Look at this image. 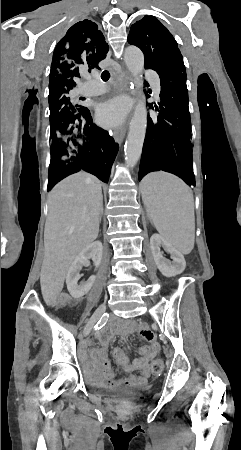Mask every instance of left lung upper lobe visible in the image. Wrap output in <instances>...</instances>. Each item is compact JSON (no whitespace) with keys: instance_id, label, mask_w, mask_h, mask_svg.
I'll list each match as a JSON object with an SVG mask.
<instances>
[{"instance_id":"left-lung-upper-lobe-1","label":"left lung upper lobe","mask_w":241,"mask_h":450,"mask_svg":"<svg viewBox=\"0 0 241 450\" xmlns=\"http://www.w3.org/2000/svg\"><path fill=\"white\" fill-rule=\"evenodd\" d=\"M128 43L142 50L145 65L156 66L162 61L183 59L172 34L151 15H145L131 26Z\"/></svg>"}]
</instances>
